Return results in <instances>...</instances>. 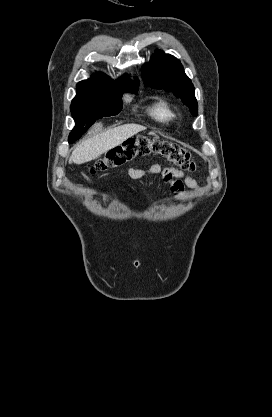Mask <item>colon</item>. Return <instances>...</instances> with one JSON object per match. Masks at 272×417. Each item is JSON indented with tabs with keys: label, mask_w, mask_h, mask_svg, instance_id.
<instances>
[{
	"label": "colon",
	"mask_w": 272,
	"mask_h": 417,
	"mask_svg": "<svg viewBox=\"0 0 272 417\" xmlns=\"http://www.w3.org/2000/svg\"><path fill=\"white\" fill-rule=\"evenodd\" d=\"M150 155H158L185 171L196 169L192 155L179 145L159 138L140 136L111 149L103 158L95 162L91 172L119 168L127 162Z\"/></svg>",
	"instance_id": "colon-1"
}]
</instances>
